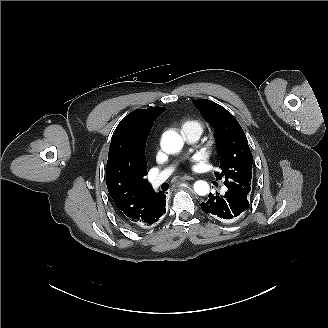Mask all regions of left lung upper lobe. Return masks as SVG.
Wrapping results in <instances>:
<instances>
[{"mask_svg":"<svg viewBox=\"0 0 328 328\" xmlns=\"http://www.w3.org/2000/svg\"><path fill=\"white\" fill-rule=\"evenodd\" d=\"M194 105L215 129L221 170L215 172L216 178H224L228 190L247 198L253 158L243 129L228 110L211 100H195Z\"/></svg>","mask_w":328,"mask_h":328,"instance_id":"1","label":"left lung upper lobe"}]
</instances>
